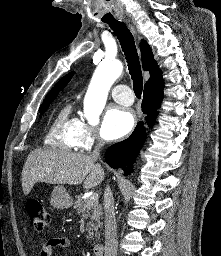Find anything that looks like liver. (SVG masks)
I'll return each instance as SVG.
<instances>
[{
  "label": "liver",
  "mask_w": 221,
  "mask_h": 256,
  "mask_svg": "<svg viewBox=\"0 0 221 256\" xmlns=\"http://www.w3.org/2000/svg\"><path fill=\"white\" fill-rule=\"evenodd\" d=\"M89 155L61 149L32 151L22 170V189L28 195L38 182L79 185L86 189L99 185L104 171Z\"/></svg>",
  "instance_id": "6515ba94"
}]
</instances>
